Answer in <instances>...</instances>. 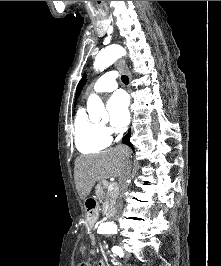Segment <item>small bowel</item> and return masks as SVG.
<instances>
[{"label": "small bowel", "instance_id": "c3829d8e", "mask_svg": "<svg viewBox=\"0 0 221 266\" xmlns=\"http://www.w3.org/2000/svg\"><path fill=\"white\" fill-rule=\"evenodd\" d=\"M94 252H95L94 250H91L90 254L93 255ZM98 266H106V264L103 261H101L99 262Z\"/></svg>", "mask_w": 221, "mask_h": 266}]
</instances>
